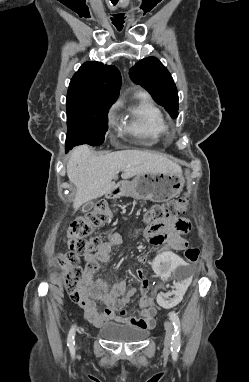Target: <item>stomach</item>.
Returning <instances> with one entry per match:
<instances>
[{"instance_id":"1","label":"stomach","mask_w":249,"mask_h":382,"mask_svg":"<svg viewBox=\"0 0 249 382\" xmlns=\"http://www.w3.org/2000/svg\"><path fill=\"white\" fill-rule=\"evenodd\" d=\"M184 183L181 173H142L132 181L119 180L110 196H129L138 200L165 202L180 194Z\"/></svg>"}]
</instances>
